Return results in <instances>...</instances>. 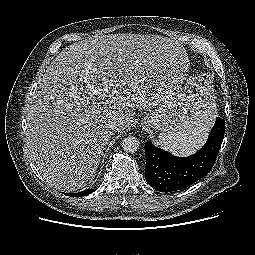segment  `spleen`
<instances>
[{
    "label": "spleen",
    "mask_w": 255,
    "mask_h": 255,
    "mask_svg": "<svg viewBox=\"0 0 255 255\" xmlns=\"http://www.w3.org/2000/svg\"><path fill=\"white\" fill-rule=\"evenodd\" d=\"M214 115L202 109L192 114L190 127L182 132L161 133L159 145L174 155L187 156L198 150L205 142Z\"/></svg>",
    "instance_id": "spleen-1"
}]
</instances>
